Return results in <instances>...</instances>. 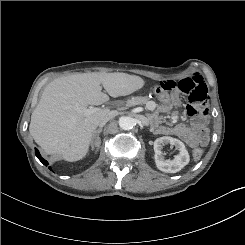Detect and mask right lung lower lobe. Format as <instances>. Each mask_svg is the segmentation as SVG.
<instances>
[{"mask_svg":"<svg viewBox=\"0 0 245 245\" xmlns=\"http://www.w3.org/2000/svg\"><path fill=\"white\" fill-rule=\"evenodd\" d=\"M35 153H36V156L38 157V159L42 162V164H44L45 166H47L48 165V162L41 157L38 149H36V148H35ZM49 169H51V168L49 167Z\"/></svg>","mask_w":245,"mask_h":245,"instance_id":"right-lung-lower-lobe-1","label":"right lung lower lobe"}]
</instances>
